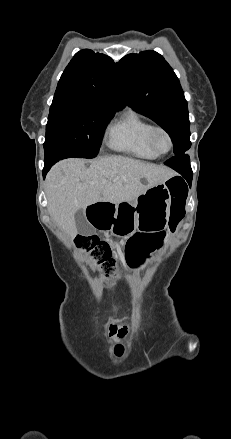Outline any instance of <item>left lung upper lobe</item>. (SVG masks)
Returning a JSON list of instances; mask_svg holds the SVG:
<instances>
[{
    "mask_svg": "<svg viewBox=\"0 0 231 439\" xmlns=\"http://www.w3.org/2000/svg\"><path fill=\"white\" fill-rule=\"evenodd\" d=\"M128 105L151 118L171 137L175 155L190 148L187 101L179 79L155 51L128 54L116 64Z\"/></svg>",
    "mask_w": 231,
    "mask_h": 439,
    "instance_id": "1",
    "label": "left lung upper lobe"
}]
</instances>
